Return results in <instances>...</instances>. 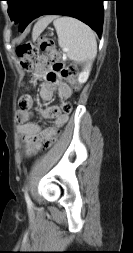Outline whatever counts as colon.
I'll use <instances>...</instances> for the list:
<instances>
[{
    "instance_id": "obj_1",
    "label": "colon",
    "mask_w": 133,
    "mask_h": 253,
    "mask_svg": "<svg viewBox=\"0 0 133 253\" xmlns=\"http://www.w3.org/2000/svg\"><path fill=\"white\" fill-rule=\"evenodd\" d=\"M39 52H43L45 56H53V61H48L47 66H51L54 74H58L63 78L73 79V68L65 64L59 52L56 50L54 42L48 38H40L36 43L26 42L19 45L16 49V54L19 58L21 67L27 71H32L34 67V61L38 56ZM72 111V103L69 101H64L60 106H58L53 112L62 113L69 115ZM56 141V136L45 141L42 145L43 150L49 149Z\"/></svg>"
}]
</instances>
